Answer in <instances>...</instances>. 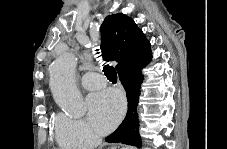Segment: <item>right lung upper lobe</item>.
I'll return each instance as SVG.
<instances>
[{"label": "right lung upper lobe", "instance_id": "obj_1", "mask_svg": "<svg viewBox=\"0 0 227 149\" xmlns=\"http://www.w3.org/2000/svg\"><path fill=\"white\" fill-rule=\"evenodd\" d=\"M101 49L107 61H117L116 70L141 64L150 57V42L135 22L119 13L107 16L101 25Z\"/></svg>", "mask_w": 227, "mask_h": 149}]
</instances>
